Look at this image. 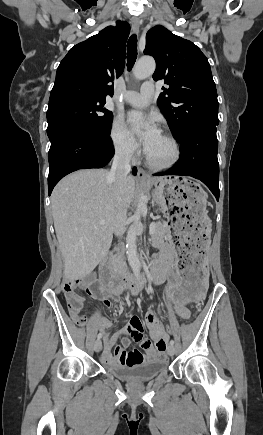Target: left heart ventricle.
I'll return each mask as SVG.
<instances>
[{
    "mask_svg": "<svg viewBox=\"0 0 263 435\" xmlns=\"http://www.w3.org/2000/svg\"><path fill=\"white\" fill-rule=\"evenodd\" d=\"M149 157L155 163H166L172 159L174 149L169 140L160 135L154 146L148 152Z\"/></svg>",
    "mask_w": 263,
    "mask_h": 435,
    "instance_id": "left-heart-ventricle-1",
    "label": "left heart ventricle"
}]
</instances>
